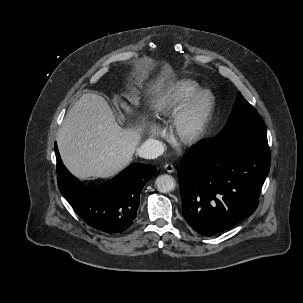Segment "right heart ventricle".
Instances as JSON below:
<instances>
[{"label":"right heart ventricle","mask_w":303,"mask_h":303,"mask_svg":"<svg viewBox=\"0 0 303 303\" xmlns=\"http://www.w3.org/2000/svg\"><path fill=\"white\" fill-rule=\"evenodd\" d=\"M199 90V84L189 79L173 83L157 100L156 116L160 119L171 116L182 108Z\"/></svg>","instance_id":"1"}]
</instances>
